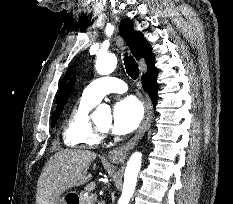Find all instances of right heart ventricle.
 Masks as SVG:
<instances>
[{
    "instance_id": "1",
    "label": "right heart ventricle",
    "mask_w": 233,
    "mask_h": 204,
    "mask_svg": "<svg viewBox=\"0 0 233 204\" xmlns=\"http://www.w3.org/2000/svg\"><path fill=\"white\" fill-rule=\"evenodd\" d=\"M96 105L83 95L77 100L66 119L64 127L65 144L72 148H91L101 137L96 133L90 120V111Z\"/></svg>"
}]
</instances>
